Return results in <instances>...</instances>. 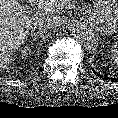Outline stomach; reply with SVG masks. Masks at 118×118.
<instances>
[{"label": "stomach", "mask_w": 118, "mask_h": 118, "mask_svg": "<svg viewBox=\"0 0 118 118\" xmlns=\"http://www.w3.org/2000/svg\"><path fill=\"white\" fill-rule=\"evenodd\" d=\"M86 21L102 36L112 35L118 28L117 0H95Z\"/></svg>", "instance_id": "0dacf381"}]
</instances>
